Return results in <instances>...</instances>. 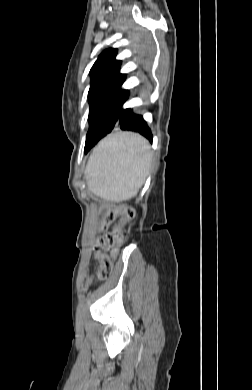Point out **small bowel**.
<instances>
[{"mask_svg":"<svg viewBox=\"0 0 252 390\" xmlns=\"http://www.w3.org/2000/svg\"><path fill=\"white\" fill-rule=\"evenodd\" d=\"M95 257L98 259V256H97V255H95Z\"/></svg>","mask_w":252,"mask_h":390,"instance_id":"c3829d8e","label":"small bowel"}]
</instances>
